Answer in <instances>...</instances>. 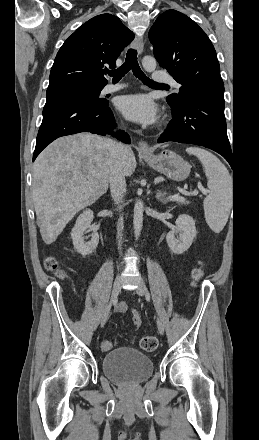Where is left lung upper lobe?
I'll return each instance as SVG.
<instances>
[{
  "label": "left lung upper lobe",
  "mask_w": 259,
  "mask_h": 440,
  "mask_svg": "<svg viewBox=\"0 0 259 440\" xmlns=\"http://www.w3.org/2000/svg\"><path fill=\"white\" fill-rule=\"evenodd\" d=\"M153 52L160 66L181 84L178 94L166 100L174 108L197 90L224 93L216 51L205 32L176 10L161 14L149 31Z\"/></svg>",
  "instance_id": "1"
}]
</instances>
